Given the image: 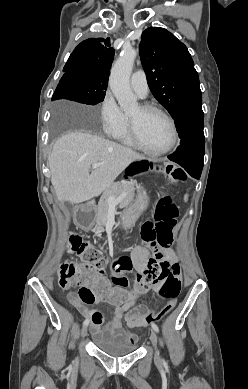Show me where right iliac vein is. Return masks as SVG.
<instances>
[{
	"label": "right iliac vein",
	"mask_w": 248,
	"mask_h": 389,
	"mask_svg": "<svg viewBox=\"0 0 248 389\" xmlns=\"http://www.w3.org/2000/svg\"><path fill=\"white\" fill-rule=\"evenodd\" d=\"M86 335H87V325L84 326V327L82 328V330H81V338L86 337Z\"/></svg>",
	"instance_id": "63e3f726"
}]
</instances>
